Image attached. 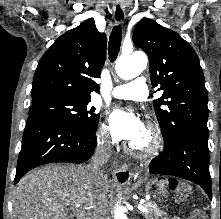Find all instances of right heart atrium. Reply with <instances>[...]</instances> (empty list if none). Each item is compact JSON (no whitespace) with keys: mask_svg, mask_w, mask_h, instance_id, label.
<instances>
[{"mask_svg":"<svg viewBox=\"0 0 221 219\" xmlns=\"http://www.w3.org/2000/svg\"><path fill=\"white\" fill-rule=\"evenodd\" d=\"M108 139V130L105 125H102L98 130V140L102 142L103 144L107 143Z\"/></svg>","mask_w":221,"mask_h":219,"instance_id":"right-heart-atrium-1","label":"right heart atrium"}]
</instances>
